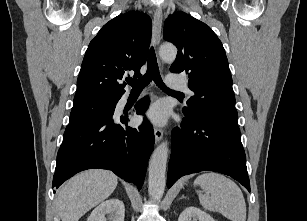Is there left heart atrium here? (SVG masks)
I'll list each match as a JSON object with an SVG mask.
<instances>
[{
  "label": "left heart atrium",
  "mask_w": 307,
  "mask_h": 221,
  "mask_svg": "<svg viewBox=\"0 0 307 221\" xmlns=\"http://www.w3.org/2000/svg\"><path fill=\"white\" fill-rule=\"evenodd\" d=\"M147 118L157 125H163L167 121L168 108L163 102L155 103L146 114Z\"/></svg>",
  "instance_id": "obj_1"
}]
</instances>
